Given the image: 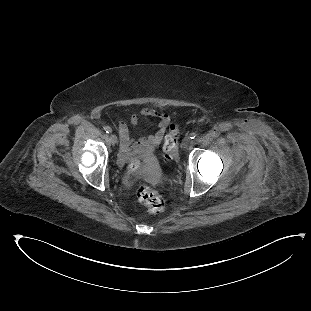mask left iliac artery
Here are the masks:
<instances>
[{"instance_id": "44dca946", "label": "left iliac artery", "mask_w": 311, "mask_h": 311, "mask_svg": "<svg viewBox=\"0 0 311 311\" xmlns=\"http://www.w3.org/2000/svg\"><path fill=\"white\" fill-rule=\"evenodd\" d=\"M196 136H197V133H195V132H192V133L190 134V138H191V139H194Z\"/></svg>"}]
</instances>
